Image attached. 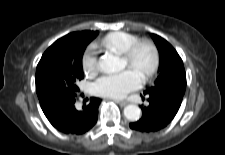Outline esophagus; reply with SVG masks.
I'll return each mask as SVG.
<instances>
[{"label": "esophagus", "mask_w": 225, "mask_h": 155, "mask_svg": "<svg viewBox=\"0 0 225 155\" xmlns=\"http://www.w3.org/2000/svg\"><path fill=\"white\" fill-rule=\"evenodd\" d=\"M120 106H126L128 104L127 101H116Z\"/></svg>", "instance_id": "obj_1"}]
</instances>
